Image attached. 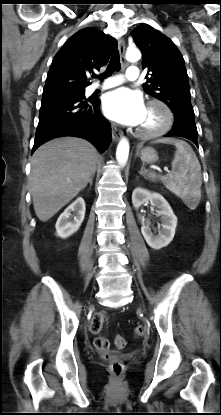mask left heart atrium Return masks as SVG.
I'll return each mask as SVG.
<instances>
[{"label":"left heart atrium","instance_id":"obj_1","mask_svg":"<svg viewBox=\"0 0 221 415\" xmlns=\"http://www.w3.org/2000/svg\"><path fill=\"white\" fill-rule=\"evenodd\" d=\"M140 92L122 87L107 93L102 102L105 116L124 125L138 126L145 112Z\"/></svg>","mask_w":221,"mask_h":415}]
</instances>
